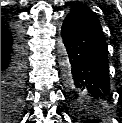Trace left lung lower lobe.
Here are the masks:
<instances>
[{
  "label": "left lung lower lobe",
  "instance_id": "left-lung-lower-lobe-1",
  "mask_svg": "<svg viewBox=\"0 0 122 123\" xmlns=\"http://www.w3.org/2000/svg\"><path fill=\"white\" fill-rule=\"evenodd\" d=\"M63 82L73 99L110 97L108 48L100 29L68 14L61 28Z\"/></svg>",
  "mask_w": 122,
  "mask_h": 123
}]
</instances>
